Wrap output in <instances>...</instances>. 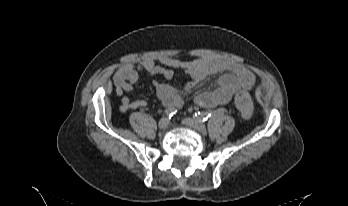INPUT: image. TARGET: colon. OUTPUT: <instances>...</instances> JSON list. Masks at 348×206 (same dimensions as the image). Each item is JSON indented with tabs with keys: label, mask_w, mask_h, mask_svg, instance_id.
<instances>
[{
	"label": "colon",
	"mask_w": 348,
	"mask_h": 206,
	"mask_svg": "<svg viewBox=\"0 0 348 206\" xmlns=\"http://www.w3.org/2000/svg\"><path fill=\"white\" fill-rule=\"evenodd\" d=\"M234 104L244 119H249L253 113V104L249 94L240 90L234 96Z\"/></svg>",
	"instance_id": "1"
}]
</instances>
